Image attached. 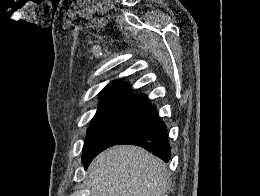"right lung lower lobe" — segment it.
Wrapping results in <instances>:
<instances>
[{"instance_id": "right-lung-lower-lobe-1", "label": "right lung lower lobe", "mask_w": 260, "mask_h": 196, "mask_svg": "<svg viewBox=\"0 0 260 196\" xmlns=\"http://www.w3.org/2000/svg\"><path fill=\"white\" fill-rule=\"evenodd\" d=\"M146 109L150 113L157 116L154 105H148ZM121 144L137 145L143 147L149 152H152L155 156L162 159L164 162H168L171 158V149L167 137L166 126L159 120L158 117L155 121L129 135L117 145ZM100 152L101 150H83L82 160L86 168L93 160V158Z\"/></svg>"}]
</instances>
